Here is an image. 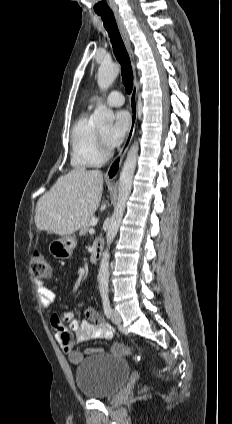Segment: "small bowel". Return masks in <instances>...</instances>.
Wrapping results in <instances>:
<instances>
[{"label":"small bowel","mask_w":232,"mask_h":424,"mask_svg":"<svg viewBox=\"0 0 232 424\" xmlns=\"http://www.w3.org/2000/svg\"><path fill=\"white\" fill-rule=\"evenodd\" d=\"M37 293L43 307H50L55 299L53 291L43 282H36ZM85 319H78L74 311H66L61 314H54L52 326L55 337L61 350L65 353L70 362L78 364L83 358V354L74 349L76 343H84L94 339H110L113 336L112 327L93 308L85 309ZM64 322L68 325L65 326ZM117 343V342H116ZM101 347H91L87 353H100ZM111 351L115 354H122V348H115V343L111 346Z\"/></svg>","instance_id":"small-bowel-1"}]
</instances>
